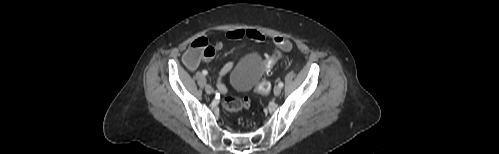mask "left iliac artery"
Masks as SVG:
<instances>
[{
  "label": "left iliac artery",
  "mask_w": 499,
  "mask_h": 154,
  "mask_svg": "<svg viewBox=\"0 0 499 154\" xmlns=\"http://www.w3.org/2000/svg\"><path fill=\"white\" fill-rule=\"evenodd\" d=\"M278 86L282 88L284 86V83L282 81L279 82Z\"/></svg>",
  "instance_id": "left-iliac-artery-1"
}]
</instances>
